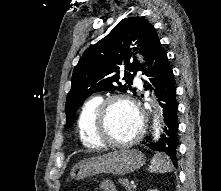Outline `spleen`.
Returning a JSON list of instances; mask_svg holds the SVG:
<instances>
[{
	"instance_id": "1",
	"label": "spleen",
	"mask_w": 221,
	"mask_h": 191,
	"mask_svg": "<svg viewBox=\"0 0 221 191\" xmlns=\"http://www.w3.org/2000/svg\"><path fill=\"white\" fill-rule=\"evenodd\" d=\"M151 173H166L171 172L172 168L170 162L163 158L161 155L157 154L153 157L151 165L149 167Z\"/></svg>"
}]
</instances>
